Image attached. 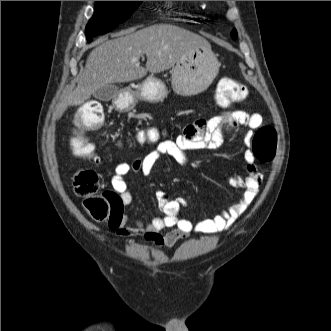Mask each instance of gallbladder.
Returning <instances> with one entry per match:
<instances>
[{
  "label": "gallbladder",
  "instance_id": "1",
  "mask_svg": "<svg viewBox=\"0 0 331 331\" xmlns=\"http://www.w3.org/2000/svg\"><path fill=\"white\" fill-rule=\"evenodd\" d=\"M119 90L115 84H107L95 91L93 96L100 101H110L118 96Z\"/></svg>",
  "mask_w": 331,
  "mask_h": 331
}]
</instances>
